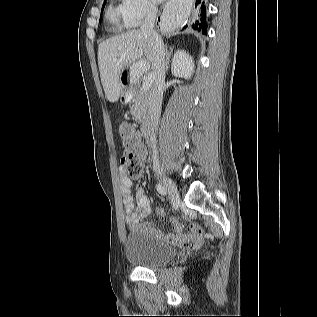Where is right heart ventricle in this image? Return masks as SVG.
I'll use <instances>...</instances> for the list:
<instances>
[{"instance_id": "1", "label": "right heart ventricle", "mask_w": 317, "mask_h": 317, "mask_svg": "<svg viewBox=\"0 0 317 317\" xmlns=\"http://www.w3.org/2000/svg\"><path fill=\"white\" fill-rule=\"evenodd\" d=\"M106 17H107L109 23L117 31L128 27V25L123 17L120 5H113V4L110 5L107 9Z\"/></svg>"}]
</instances>
